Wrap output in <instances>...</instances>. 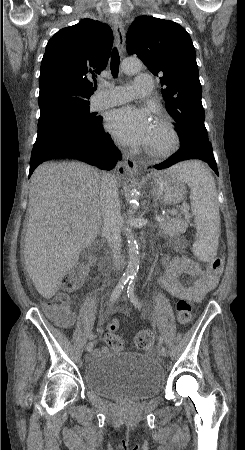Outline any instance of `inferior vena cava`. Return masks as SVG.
I'll list each match as a JSON object with an SVG mask.
<instances>
[{"mask_svg": "<svg viewBox=\"0 0 245 450\" xmlns=\"http://www.w3.org/2000/svg\"><path fill=\"white\" fill-rule=\"evenodd\" d=\"M100 208L103 217L102 232L112 248L114 270H120L121 228L123 218L120 212V198L114 175L106 173L100 183Z\"/></svg>", "mask_w": 245, "mask_h": 450, "instance_id": "1", "label": "inferior vena cava"}]
</instances>
